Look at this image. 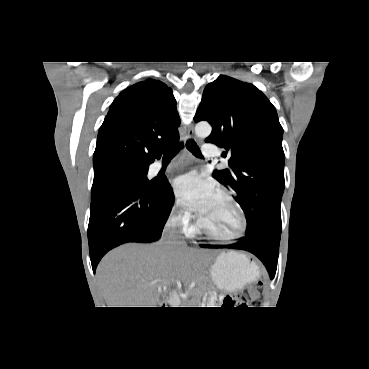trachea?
I'll return each mask as SVG.
<instances>
[{
  "label": "trachea",
  "instance_id": "trachea-1",
  "mask_svg": "<svg viewBox=\"0 0 369 369\" xmlns=\"http://www.w3.org/2000/svg\"><path fill=\"white\" fill-rule=\"evenodd\" d=\"M182 147H183L182 143H179L178 145H175L171 148H168V149L164 150L163 158L172 159L173 157H175L177 155V153L180 151V149ZM186 147L194 156L202 157L201 151H200V149H199V147H198V145L196 144L195 141L189 140L186 143Z\"/></svg>",
  "mask_w": 369,
  "mask_h": 369
}]
</instances>
